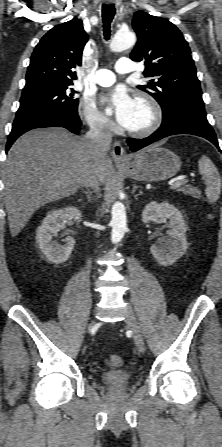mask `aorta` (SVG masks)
<instances>
[{"label": "aorta", "mask_w": 222, "mask_h": 447, "mask_svg": "<svg viewBox=\"0 0 222 447\" xmlns=\"http://www.w3.org/2000/svg\"><path fill=\"white\" fill-rule=\"evenodd\" d=\"M136 42L135 34L131 31H118L111 43L110 49L113 52H121L132 47ZM111 240L113 243L119 242L127 229L126 210L121 202H115L111 209Z\"/></svg>", "instance_id": "762f6f07"}]
</instances>
